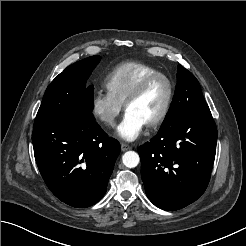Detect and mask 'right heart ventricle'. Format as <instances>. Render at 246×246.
Here are the masks:
<instances>
[{
	"label": "right heart ventricle",
	"mask_w": 246,
	"mask_h": 246,
	"mask_svg": "<svg viewBox=\"0 0 246 246\" xmlns=\"http://www.w3.org/2000/svg\"><path fill=\"white\" fill-rule=\"evenodd\" d=\"M159 72L142 62H124L114 67L104 80L105 87L118 102L124 104L127 96L146 76Z\"/></svg>",
	"instance_id": "1"
}]
</instances>
